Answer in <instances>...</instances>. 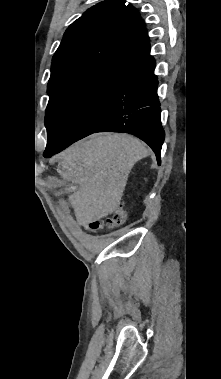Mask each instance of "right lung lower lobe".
<instances>
[{
	"label": "right lung lower lobe",
	"mask_w": 221,
	"mask_h": 379,
	"mask_svg": "<svg viewBox=\"0 0 221 379\" xmlns=\"http://www.w3.org/2000/svg\"><path fill=\"white\" fill-rule=\"evenodd\" d=\"M155 60L131 71L121 78L119 90L108 115L94 132H127L146 142L154 151L158 164L165 132L160 121L157 96L158 80L154 75ZM93 132V133H94ZM77 140L59 141L46 147L48 158Z\"/></svg>",
	"instance_id": "obj_1"
}]
</instances>
